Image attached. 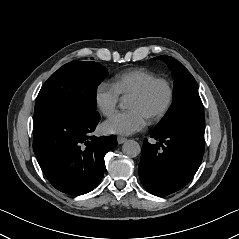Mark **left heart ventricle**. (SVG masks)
<instances>
[{
  "instance_id": "1",
  "label": "left heart ventricle",
  "mask_w": 239,
  "mask_h": 239,
  "mask_svg": "<svg viewBox=\"0 0 239 239\" xmlns=\"http://www.w3.org/2000/svg\"><path fill=\"white\" fill-rule=\"evenodd\" d=\"M165 97L163 86L156 85L152 88L150 93L140 100L128 99L126 102L127 107L134 108L139 111L143 116H146L151 111L158 108Z\"/></svg>"
}]
</instances>
